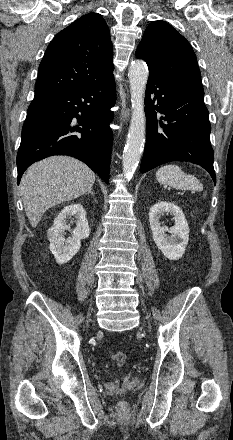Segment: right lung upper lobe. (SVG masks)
<instances>
[{
    "label": "right lung upper lobe",
    "instance_id": "right-lung-upper-lobe-1",
    "mask_svg": "<svg viewBox=\"0 0 233 440\" xmlns=\"http://www.w3.org/2000/svg\"><path fill=\"white\" fill-rule=\"evenodd\" d=\"M113 74L109 28L89 13L59 32L39 65L35 96L85 87Z\"/></svg>",
    "mask_w": 233,
    "mask_h": 440
}]
</instances>
